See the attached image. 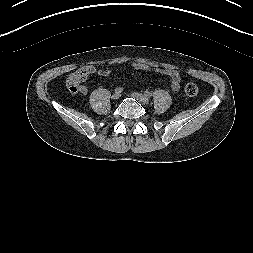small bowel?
Here are the masks:
<instances>
[{"label":"small bowel","mask_w":253,"mask_h":253,"mask_svg":"<svg viewBox=\"0 0 253 253\" xmlns=\"http://www.w3.org/2000/svg\"><path fill=\"white\" fill-rule=\"evenodd\" d=\"M132 67L134 69H143V70H150L151 68L143 63L140 62H134L132 63ZM86 68L89 70L90 73H93L95 71L94 66L88 65ZM162 72L168 77L171 87L174 91H178L180 88V76L179 73L173 69H164ZM100 76H106L109 74L108 70H100L98 72ZM79 92L81 94H86L87 93V87L85 85L80 86Z\"/></svg>","instance_id":"obj_1"}]
</instances>
